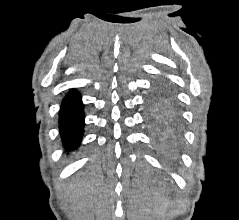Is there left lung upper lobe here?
Returning a JSON list of instances; mask_svg holds the SVG:
<instances>
[{
  "label": "left lung upper lobe",
  "instance_id": "left-lung-upper-lobe-1",
  "mask_svg": "<svg viewBox=\"0 0 239 220\" xmlns=\"http://www.w3.org/2000/svg\"><path fill=\"white\" fill-rule=\"evenodd\" d=\"M149 122L155 128H161L176 112L175 100L168 86L158 85L148 102Z\"/></svg>",
  "mask_w": 239,
  "mask_h": 220
}]
</instances>
